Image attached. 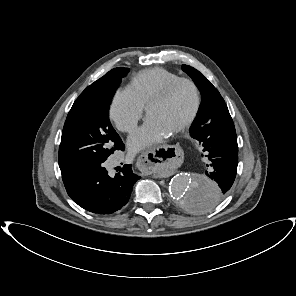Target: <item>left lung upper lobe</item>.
Instances as JSON below:
<instances>
[{
  "mask_svg": "<svg viewBox=\"0 0 296 296\" xmlns=\"http://www.w3.org/2000/svg\"><path fill=\"white\" fill-rule=\"evenodd\" d=\"M182 70L186 72L200 89L202 100L195 120L190 127V136L199 142L198 135L201 127L209 123L211 118L226 107L225 101L212 85L198 70L188 65H182ZM208 204L207 202L205 203Z\"/></svg>",
  "mask_w": 296,
  "mask_h": 296,
  "instance_id": "5c2ea615",
  "label": "left lung upper lobe"
}]
</instances>
